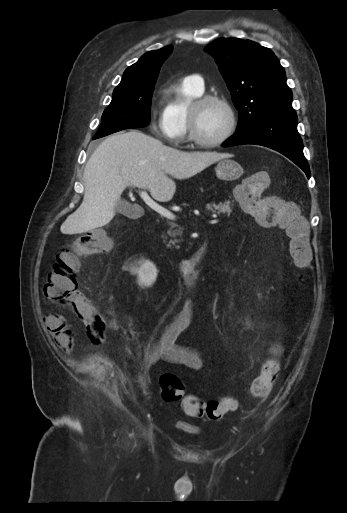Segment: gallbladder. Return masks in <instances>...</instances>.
<instances>
[{
    "mask_svg": "<svg viewBox=\"0 0 347 513\" xmlns=\"http://www.w3.org/2000/svg\"><path fill=\"white\" fill-rule=\"evenodd\" d=\"M116 211L129 218H134L137 214L138 208L127 201H119L116 205Z\"/></svg>",
    "mask_w": 347,
    "mask_h": 513,
    "instance_id": "1",
    "label": "gallbladder"
}]
</instances>
